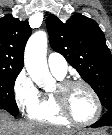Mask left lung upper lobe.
Instances as JSON below:
<instances>
[{"mask_svg": "<svg viewBox=\"0 0 112 135\" xmlns=\"http://www.w3.org/2000/svg\"><path fill=\"white\" fill-rule=\"evenodd\" d=\"M46 24L52 48L93 88L106 110L112 109V56L98 24L79 13L65 23L49 15Z\"/></svg>", "mask_w": 112, "mask_h": 135, "instance_id": "5c2ea615", "label": "left lung upper lobe"}]
</instances>
